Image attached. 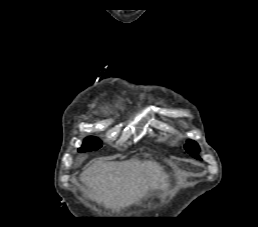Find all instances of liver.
I'll use <instances>...</instances> for the list:
<instances>
[{
  "mask_svg": "<svg viewBox=\"0 0 258 227\" xmlns=\"http://www.w3.org/2000/svg\"><path fill=\"white\" fill-rule=\"evenodd\" d=\"M80 180L90 188V197L107 208L119 211L137 203L149 191L167 189L168 175L152 160L123 162L97 160Z\"/></svg>",
  "mask_w": 258,
  "mask_h": 227,
  "instance_id": "obj_1",
  "label": "liver"
}]
</instances>
